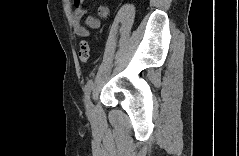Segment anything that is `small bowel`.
Instances as JSON below:
<instances>
[{
  "mask_svg": "<svg viewBox=\"0 0 239 156\" xmlns=\"http://www.w3.org/2000/svg\"><path fill=\"white\" fill-rule=\"evenodd\" d=\"M86 4V0H75L74 2V32L81 37H88L90 35L88 28L94 30L99 29L101 27V21L107 20L110 16V8L108 6H101L98 9L97 17L89 16L86 11Z\"/></svg>",
  "mask_w": 239,
  "mask_h": 156,
  "instance_id": "1",
  "label": "small bowel"
}]
</instances>
